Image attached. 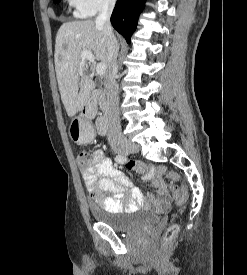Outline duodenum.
<instances>
[{
	"label": "duodenum",
	"mask_w": 247,
	"mask_h": 275,
	"mask_svg": "<svg viewBox=\"0 0 247 275\" xmlns=\"http://www.w3.org/2000/svg\"><path fill=\"white\" fill-rule=\"evenodd\" d=\"M101 93L93 90L91 93H89L83 102V112L86 115L89 111L93 110L99 99H100ZM109 119H110V110L107 108L104 112V114L102 116H99L96 119V128H97V132L100 135H104L109 127Z\"/></svg>",
	"instance_id": "duodenum-1"
}]
</instances>
